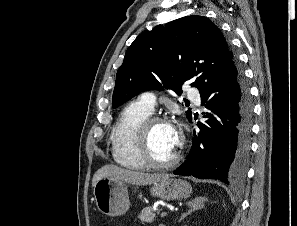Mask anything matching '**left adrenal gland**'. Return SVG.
I'll use <instances>...</instances> for the list:
<instances>
[{"mask_svg":"<svg viewBox=\"0 0 297 226\" xmlns=\"http://www.w3.org/2000/svg\"><path fill=\"white\" fill-rule=\"evenodd\" d=\"M207 201L205 197H197L192 201L186 203L187 207L189 208L186 213H183L179 219V222L182 221L187 215H190L194 211L198 209H202L204 207V202Z\"/></svg>","mask_w":297,"mask_h":226,"instance_id":"left-adrenal-gland-1","label":"left adrenal gland"}]
</instances>
